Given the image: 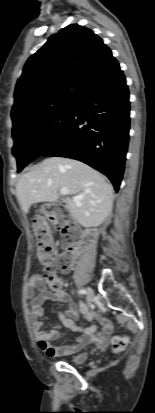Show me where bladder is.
Returning a JSON list of instances; mask_svg holds the SVG:
<instances>
[{"label":"bladder","mask_w":155,"mask_h":413,"mask_svg":"<svg viewBox=\"0 0 155 413\" xmlns=\"http://www.w3.org/2000/svg\"><path fill=\"white\" fill-rule=\"evenodd\" d=\"M86 359H87V353L86 352H81V353H78V354L72 356L69 359V361L72 364L78 365V364L84 363Z\"/></svg>","instance_id":"bladder-1"}]
</instances>
